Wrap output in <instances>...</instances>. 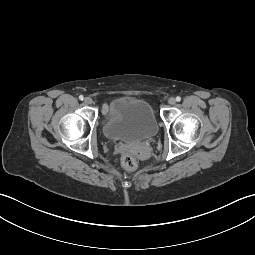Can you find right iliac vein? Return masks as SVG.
Masks as SVG:
<instances>
[{
	"label": "right iliac vein",
	"mask_w": 255,
	"mask_h": 255,
	"mask_svg": "<svg viewBox=\"0 0 255 255\" xmlns=\"http://www.w3.org/2000/svg\"><path fill=\"white\" fill-rule=\"evenodd\" d=\"M84 102H85V104L90 105V104H92L93 100H92V98H90V97H86V98L84 99Z\"/></svg>",
	"instance_id": "1"
}]
</instances>
